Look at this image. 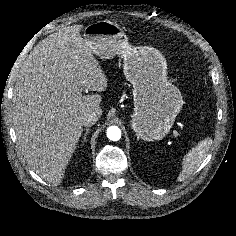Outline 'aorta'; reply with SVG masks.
Wrapping results in <instances>:
<instances>
[{"label": "aorta", "instance_id": "obj_1", "mask_svg": "<svg viewBox=\"0 0 236 236\" xmlns=\"http://www.w3.org/2000/svg\"><path fill=\"white\" fill-rule=\"evenodd\" d=\"M107 137L111 141H118L121 138V130L117 126H110L107 129Z\"/></svg>", "mask_w": 236, "mask_h": 236}]
</instances>
